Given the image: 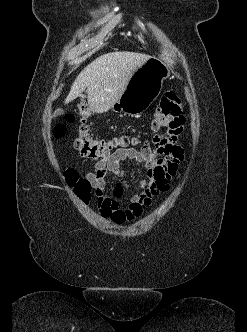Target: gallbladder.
<instances>
[{"mask_svg": "<svg viewBox=\"0 0 247 332\" xmlns=\"http://www.w3.org/2000/svg\"><path fill=\"white\" fill-rule=\"evenodd\" d=\"M63 113V110H58L57 115H61Z\"/></svg>", "mask_w": 247, "mask_h": 332, "instance_id": "gallbladder-1", "label": "gallbladder"}]
</instances>
